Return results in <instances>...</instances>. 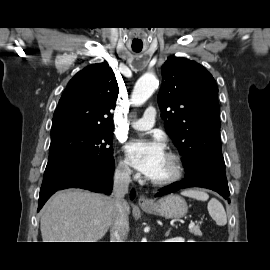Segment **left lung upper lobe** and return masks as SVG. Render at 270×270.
Returning a JSON list of instances; mask_svg holds the SVG:
<instances>
[{
  "mask_svg": "<svg viewBox=\"0 0 270 270\" xmlns=\"http://www.w3.org/2000/svg\"><path fill=\"white\" fill-rule=\"evenodd\" d=\"M158 104L165 129L183 156L186 172L208 159L224 160L220 142L218 88L202 65L171 57L162 66Z\"/></svg>",
  "mask_w": 270,
  "mask_h": 270,
  "instance_id": "obj_1",
  "label": "left lung upper lobe"
}]
</instances>
